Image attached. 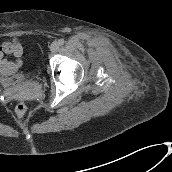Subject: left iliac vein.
Returning a JSON list of instances; mask_svg holds the SVG:
<instances>
[{"instance_id":"left-iliac-vein-1","label":"left iliac vein","mask_w":172,"mask_h":172,"mask_svg":"<svg viewBox=\"0 0 172 172\" xmlns=\"http://www.w3.org/2000/svg\"><path fill=\"white\" fill-rule=\"evenodd\" d=\"M58 49H59V43L53 42L50 46V50L54 53V52H57Z\"/></svg>"}]
</instances>
